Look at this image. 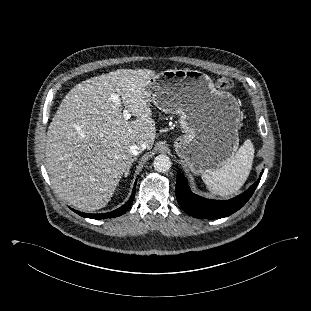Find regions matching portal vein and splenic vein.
Listing matches in <instances>:
<instances>
[{"mask_svg":"<svg viewBox=\"0 0 311 311\" xmlns=\"http://www.w3.org/2000/svg\"><path fill=\"white\" fill-rule=\"evenodd\" d=\"M111 100L115 103L116 106L121 107V101L119 99V94L113 93L111 95ZM123 117L126 120H129L131 118V113L129 112V110L127 109L123 110Z\"/></svg>","mask_w":311,"mask_h":311,"instance_id":"18ae733b","label":"portal vein and splenic vein"}]
</instances>
